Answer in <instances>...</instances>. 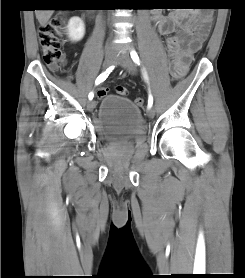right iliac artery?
<instances>
[{"label": "right iliac artery", "instance_id": "1", "mask_svg": "<svg viewBox=\"0 0 245 278\" xmlns=\"http://www.w3.org/2000/svg\"><path fill=\"white\" fill-rule=\"evenodd\" d=\"M112 70H113V66L107 68V70H106L105 72H103L102 74H100V75L97 77V79H96V81H95V84L98 85V84L102 83V82L107 78V76L110 74V72H111ZM88 97H89V100H92L93 97H94L93 92H90Z\"/></svg>", "mask_w": 245, "mask_h": 278}]
</instances>
